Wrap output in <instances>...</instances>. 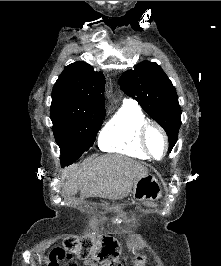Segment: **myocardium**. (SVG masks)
Wrapping results in <instances>:
<instances>
[{
	"instance_id": "obj_1",
	"label": "myocardium",
	"mask_w": 221,
	"mask_h": 266,
	"mask_svg": "<svg viewBox=\"0 0 221 266\" xmlns=\"http://www.w3.org/2000/svg\"><path fill=\"white\" fill-rule=\"evenodd\" d=\"M152 130L156 131L163 140V152L160 156H155L149 147L148 136H149L150 131ZM140 142L145 152L148 154V156L155 160L163 159L167 155V152L169 150V140H168V137L165 131L160 125L152 121H146L142 125L141 130H140Z\"/></svg>"
}]
</instances>
